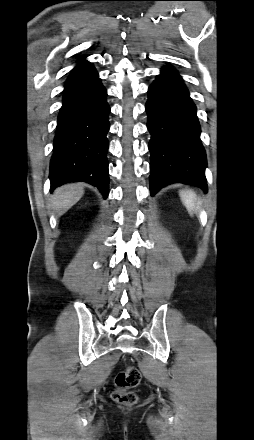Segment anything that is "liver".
<instances>
[{"instance_id": "1", "label": "liver", "mask_w": 254, "mask_h": 440, "mask_svg": "<svg viewBox=\"0 0 254 440\" xmlns=\"http://www.w3.org/2000/svg\"><path fill=\"white\" fill-rule=\"evenodd\" d=\"M83 194L84 187L81 183L63 185L54 191L51 206L58 215H62L75 205Z\"/></svg>"}]
</instances>
